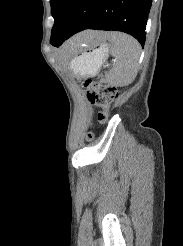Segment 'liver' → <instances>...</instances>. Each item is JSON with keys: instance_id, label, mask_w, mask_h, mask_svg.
<instances>
[{"instance_id": "liver-1", "label": "liver", "mask_w": 183, "mask_h": 246, "mask_svg": "<svg viewBox=\"0 0 183 246\" xmlns=\"http://www.w3.org/2000/svg\"><path fill=\"white\" fill-rule=\"evenodd\" d=\"M104 32H95V31H85L76 35L70 42L67 44V48L71 51H74L81 46H86L88 44H92L96 41L105 37Z\"/></svg>"}]
</instances>
